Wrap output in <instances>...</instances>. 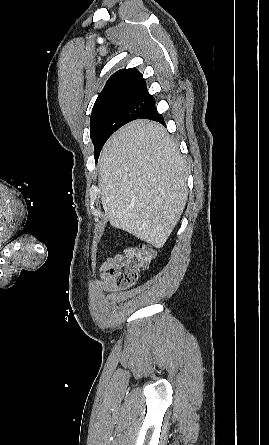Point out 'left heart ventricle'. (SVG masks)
Returning <instances> with one entry per match:
<instances>
[{
    "label": "left heart ventricle",
    "instance_id": "b2bd125f",
    "mask_svg": "<svg viewBox=\"0 0 269 445\" xmlns=\"http://www.w3.org/2000/svg\"><path fill=\"white\" fill-rule=\"evenodd\" d=\"M3 232H0V237H1V234H2Z\"/></svg>",
    "mask_w": 269,
    "mask_h": 445
}]
</instances>
